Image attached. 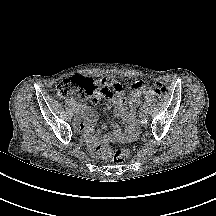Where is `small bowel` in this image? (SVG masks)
Listing matches in <instances>:
<instances>
[{"mask_svg":"<svg viewBox=\"0 0 216 216\" xmlns=\"http://www.w3.org/2000/svg\"><path fill=\"white\" fill-rule=\"evenodd\" d=\"M103 79L108 86L103 96L113 105L115 115L123 120L124 130H121L118 125H114L111 133H96L95 114L93 111L84 108L85 121L79 122L77 120V126L85 132L86 139L91 146L126 140L137 135L135 111L143 93L135 86V83L123 84L113 75H107ZM125 88L129 89L127 97L124 96ZM98 98L93 99V102H96Z\"/></svg>","mask_w":216,"mask_h":216,"instance_id":"1","label":"small bowel"}]
</instances>
